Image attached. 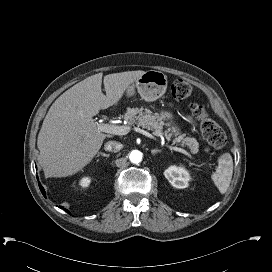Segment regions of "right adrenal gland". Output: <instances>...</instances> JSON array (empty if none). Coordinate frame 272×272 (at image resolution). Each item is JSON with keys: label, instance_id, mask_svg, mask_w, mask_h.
I'll return each mask as SVG.
<instances>
[{"label": "right adrenal gland", "instance_id": "obj_1", "mask_svg": "<svg viewBox=\"0 0 272 272\" xmlns=\"http://www.w3.org/2000/svg\"><path fill=\"white\" fill-rule=\"evenodd\" d=\"M103 156V157H109L110 155L109 154H105V153H103V152H99L98 153V156Z\"/></svg>", "mask_w": 272, "mask_h": 272}]
</instances>
